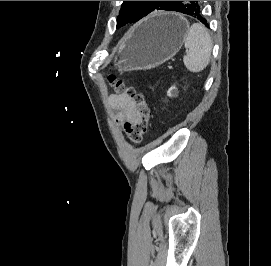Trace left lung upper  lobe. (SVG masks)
I'll return each mask as SVG.
<instances>
[{
  "label": "left lung upper lobe",
  "mask_w": 271,
  "mask_h": 266,
  "mask_svg": "<svg viewBox=\"0 0 271 266\" xmlns=\"http://www.w3.org/2000/svg\"><path fill=\"white\" fill-rule=\"evenodd\" d=\"M176 1H124L117 18V28L133 23L155 10H169Z\"/></svg>",
  "instance_id": "left-lung-upper-lobe-1"
}]
</instances>
